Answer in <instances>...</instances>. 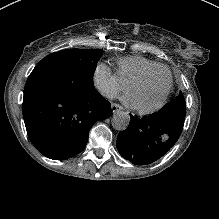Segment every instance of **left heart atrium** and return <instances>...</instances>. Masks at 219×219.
<instances>
[{"mask_svg": "<svg viewBox=\"0 0 219 219\" xmlns=\"http://www.w3.org/2000/svg\"><path fill=\"white\" fill-rule=\"evenodd\" d=\"M123 99H124V101H125L128 105H130V106H133V105H134V100H133V98H132L131 96L125 95V96L123 97Z\"/></svg>", "mask_w": 219, "mask_h": 219, "instance_id": "1", "label": "left heart atrium"}]
</instances>
